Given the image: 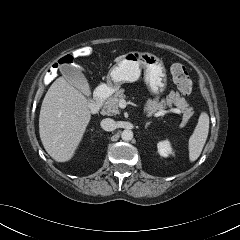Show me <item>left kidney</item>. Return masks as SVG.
Segmentation results:
<instances>
[{
    "label": "left kidney",
    "instance_id": "left-kidney-1",
    "mask_svg": "<svg viewBox=\"0 0 240 240\" xmlns=\"http://www.w3.org/2000/svg\"><path fill=\"white\" fill-rule=\"evenodd\" d=\"M157 148L158 153L163 157H168L170 154L173 153L170 142L168 140L158 142Z\"/></svg>",
    "mask_w": 240,
    "mask_h": 240
}]
</instances>
